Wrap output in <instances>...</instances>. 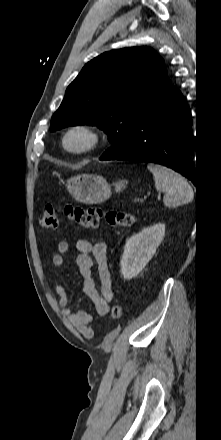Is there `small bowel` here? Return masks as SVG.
I'll return each mask as SVG.
<instances>
[{"label":"small bowel","instance_id":"obj_1","mask_svg":"<svg viewBox=\"0 0 221 440\" xmlns=\"http://www.w3.org/2000/svg\"><path fill=\"white\" fill-rule=\"evenodd\" d=\"M69 247L70 245L67 240H62L58 244V252L52 257V264L55 267L64 266V255L68 252ZM76 248L78 251L76 264L79 274L83 279L84 293L89 298L96 313L99 316H106L110 309V303L114 298L111 273L107 264V246L103 242L91 243L88 240L80 239L76 243ZM94 262L97 263L98 285H96L93 278ZM55 292L59 298V306L70 323L85 338H93L95 331L90 325L92 322L91 315L84 310L74 311L69 307V293L61 284L55 285Z\"/></svg>","mask_w":221,"mask_h":440}]
</instances>
